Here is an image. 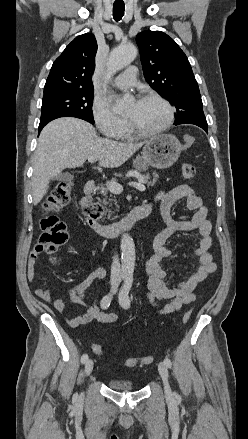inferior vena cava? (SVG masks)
Segmentation results:
<instances>
[{"instance_id": "602c4592", "label": "inferior vena cava", "mask_w": 248, "mask_h": 439, "mask_svg": "<svg viewBox=\"0 0 248 439\" xmlns=\"http://www.w3.org/2000/svg\"><path fill=\"white\" fill-rule=\"evenodd\" d=\"M120 274H121V268H120V262L117 255L113 257V262L111 265V283L118 285L120 282Z\"/></svg>"}]
</instances>
